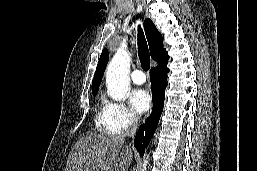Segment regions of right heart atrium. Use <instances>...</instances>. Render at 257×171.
<instances>
[{"label": "right heart atrium", "mask_w": 257, "mask_h": 171, "mask_svg": "<svg viewBox=\"0 0 257 171\" xmlns=\"http://www.w3.org/2000/svg\"><path fill=\"white\" fill-rule=\"evenodd\" d=\"M104 106L111 126L118 133L125 132L137 124V115L125 103L108 100Z\"/></svg>", "instance_id": "right-heart-atrium-1"}]
</instances>
